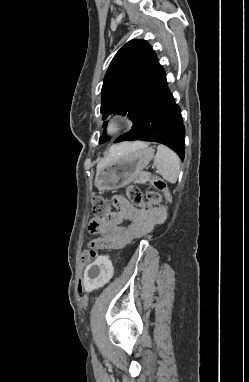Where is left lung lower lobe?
<instances>
[{"instance_id": "left-lung-lower-lobe-1", "label": "left lung lower lobe", "mask_w": 249, "mask_h": 382, "mask_svg": "<svg viewBox=\"0 0 249 382\" xmlns=\"http://www.w3.org/2000/svg\"><path fill=\"white\" fill-rule=\"evenodd\" d=\"M185 129L180 107L164 83L132 129L117 138L121 141H152L164 144L174 150L181 159L185 155Z\"/></svg>"}]
</instances>
